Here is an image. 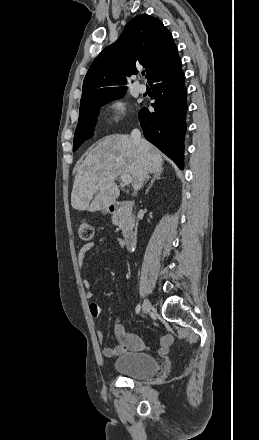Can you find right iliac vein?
<instances>
[{
    "mask_svg": "<svg viewBox=\"0 0 259 440\" xmlns=\"http://www.w3.org/2000/svg\"><path fill=\"white\" fill-rule=\"evenodd\" d=\"M152 309L150 300L146 299L143 303V313L147 314Z\"/></svg>",
    "mask_w": 259,
    "mask_h": 440,
    "instance_id": "63e3f726",
    "label": "right iliac vein"
}]
</instances>
